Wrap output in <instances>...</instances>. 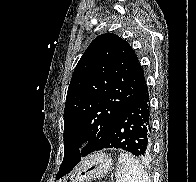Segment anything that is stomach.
<instances>
[{"label":"stomach","instance_id":"stomach-1","mask_svg":"<svg viewBox=\"0 0 196 182\" xmlns=\"http://www.w3.org/2000/svg\"><path fill=\"white\" fill-rule=\"evenodd\" d=\"M112 164L109 154L94 153L82 161L75 172L73 182H90L100 179L108 174Z\"/></svg>","mask_w":196,"mask_h":182}]
</instances>
